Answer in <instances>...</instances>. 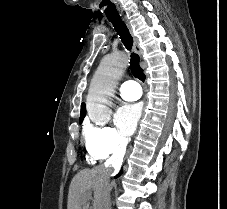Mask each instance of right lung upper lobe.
<instances>
[{
  "instance_id": "cb5924a9",
  "label": "right lung upper lobe",
  "mask_w": 227,
  "mask_h": 209,
  "mask_svg": "<svg viewBox=\"0 0 227 209\" xmlns=\"http://www.w3.org/2000/svg\"><path fill=\"white\" fill-rule=\"evenodd\" d=\"M85 115H86V107H85V103H82L80 119H84Z\"/></svg>"
}]
</instances>
